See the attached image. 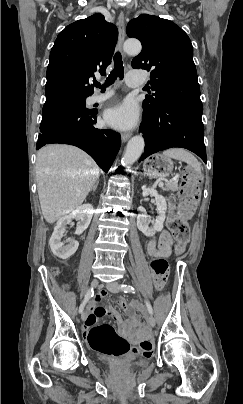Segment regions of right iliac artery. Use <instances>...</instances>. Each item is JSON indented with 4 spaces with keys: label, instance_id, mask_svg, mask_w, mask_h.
I'll list each match as a JSON object with an SVG mask.
<instances>
[{
    "label": "right iliac artery",
    "instance_id": "right-iliac-artery-1",
    "mask_svg": "<svg viewBox=\"0 0 243 404\" xmlns=\"http://www.w3.org/2000/svg\"><path fill=\"white\" fill-rule=\"evenodd\" d=\"M93 294H94L93 288H91V289H89V290L87 291V293H86V295H85V298H84L82 304H81L80 307H79V313H82V311H83V309H84V307H85V304L88 302V300H89L91 297H93Z\"/></svg>",
    "mask_w": 243,
    "mask_h": 404
}]
</instances>
